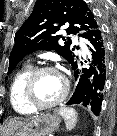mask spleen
<instances>
[{
	"label": "spleen",
	"instance_id": "3e777b00",
	"mask_svg": "<svg viewBox=\"0 0 117 136\" xmlns=\"http://www.w3.org/2000/svg\"><path fill=\"white\" fill-rule=\"evenodd\" d=\"M58 114L65 120L67 130H71L77 123V112L71 107H61Z\"/></svg>",
	"mask_w": 117,
	"mask_h": 136
}]
</instances>
